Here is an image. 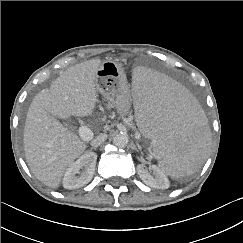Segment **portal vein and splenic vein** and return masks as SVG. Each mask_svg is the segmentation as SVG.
I'll list each match as a JSON object with an SVG mask.
<instances>
[{
    "label": "portal vein and splenic vein",
    "instance_id": "portal-vein-and-splenic-vein-1",
    "mask_svg": "<svg viewBox=\"0 0 243 243\" xmlns=\"http://www.w3.org/2000/svg\"><path fill=\"white\" fill-rule=\"evenodd\" d=\"M126 123L131 125V122L128 119L126 120ZM78 133H79L80 137L85 141H89L93 136L92 131L86 126L79 127Z\"/></svg>",
    "mask_w": 243,
    "mask_h": 243
}]
</instances>
